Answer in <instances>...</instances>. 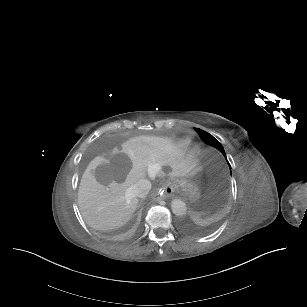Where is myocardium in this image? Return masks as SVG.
I'll list each match as a JSON object with an SVG mask.
<instances>
[{"label":"myocardium","instance_id":"1","mask_svg":"<svg viewBox=\"0 0 307 307\" xmlns=\"http://www.w3.org/2000/svg\"><path fill=\"white\" fill-rule=\"evenodd\" d=\"M190 156L193 157V158H197L201 155L202 153V147L201 145L199 144H193L191 147H190Z\"/></svg>","mask_w":307,"mask_h":307}]
</instances>
